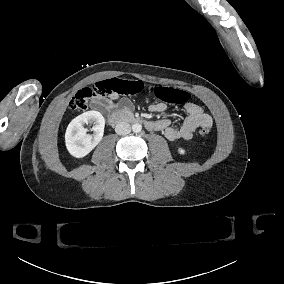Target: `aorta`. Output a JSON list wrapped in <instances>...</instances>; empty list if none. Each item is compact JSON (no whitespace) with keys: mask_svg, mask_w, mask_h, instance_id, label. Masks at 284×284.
<instances>
[{"mask_svg":"<svg viewBox=\"0 0 284 284\" xmlns=\"http://www.w3.org/2000/svg\"><path fill=\"white\" fill-rule=\"evenodd\" d=\"M141 130H142V125H141V124H139V123H134V124L132 125V131H133L134 133H139V132H141Z\"/></svg>","mask_w":284,"mask_h":284,"instance_id":"obj_1","label":"aorta"}]
</instances>
